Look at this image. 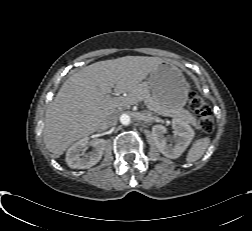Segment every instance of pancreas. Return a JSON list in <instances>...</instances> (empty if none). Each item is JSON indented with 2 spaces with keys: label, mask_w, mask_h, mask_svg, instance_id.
<instances>
[{
  "label": "pancreas",
  "mask_w": 252,
  "mask_h": 231,
  "mask_svg": "<svg viewBox=\"0 0 252 231\" xmlns=\"http://www.w3.org/2000/svg\"><path fill=\"white\" fill-rule=\"evenodd\" d=\"M128 101L123 103V106L129 105V102L144 101L148 109L163 116H170L190 123L196 128H199L197 119L187 110L182 108L164 109L151 96L148 89L144 86H139L127 98Z\"/></svg>",
  "instance_id": "pancreas-1"
}]
</instances>
